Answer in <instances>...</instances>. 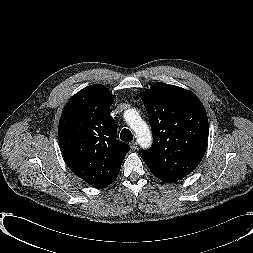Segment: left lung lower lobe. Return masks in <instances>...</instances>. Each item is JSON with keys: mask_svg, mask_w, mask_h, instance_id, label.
Masks as SVG:
<instances>
[{"mask_svg": "<svg viewBox=\"0 0 253 253\" xmlns=\"http://www.w3.org/2000/svg\"><path fill=\"white\" fill-rule=\"evenodd\" d=\"M157 178H159L160 180L162 181H165V182H174V181H177L183 177H180V176H162V175H155Z\"/></svg>", "mask_w": 253, "mask_h": 253, "instance_id": "obj_1", "label": "left lung lower lobe"}]
</instances>
